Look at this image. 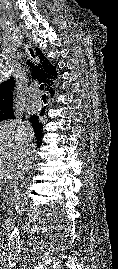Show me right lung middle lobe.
<instances>
[{"label": "right lung middle lobe", "mask_w": 118, "mask_h": 269, "mask_svg": "<svg viewBox=\"0 0 118 269\" xmlns=\"http://www.w3.org/2000/svg\"><path fill=\"white\" fill-rule=\"evenodd\" d=\"M14 118L12 105H5L0 107V121Z\"/></svg>", "instance_id": "right-lung-middle-lobe-1"}]
</instances>
